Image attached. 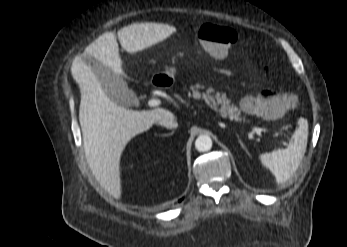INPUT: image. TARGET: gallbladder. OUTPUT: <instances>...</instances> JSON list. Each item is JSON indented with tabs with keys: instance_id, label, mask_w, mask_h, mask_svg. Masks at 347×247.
<instances>
[{
	"instance_id": "bac80fb5",
	"label": "gallbladder",
	"mask_w": 347,
	"mask_h": 247,
	"mask_svg": "<svg viewBox=\"0 0 347 247\" xmlns=\"http://www.w3.org/2000/svg\"><path fill=\"white\" fill-rule=\"evenodd\" d=\"M83 61L91 67L103 91L113 102L126 107L136 103L135 93L128 88L121 75L113 72L91 56H86Z\"/></svg>"
}]
</instances>
